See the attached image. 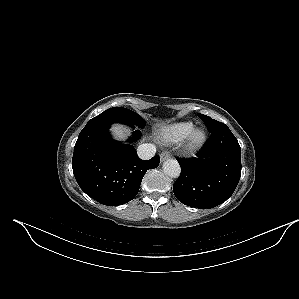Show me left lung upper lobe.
Instances as JSON below:
<instances>
[{"mask_svg":"<svg viewBox=\"0 0 299 299\" xmlns=\"http://www.w3.org/2000/svg\"><path fill=\"white\" fill-rule=\"evenodd\" d=\"M198 116L202 119V121L206 124V126L208 127V131L210 133L218 130L219 128H221L222 126H224V123H221L219 121H216L214 119H211L209 116L203 115V114H198Z\"/></svg>","mask_w":299,"mask_h":299,"instance_id":"left-lung-upper-lobe-1","label":"left lung upper lobe"}]
</instances>
